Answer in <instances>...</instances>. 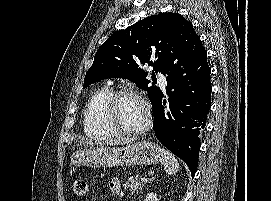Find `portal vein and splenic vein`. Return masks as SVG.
<instances>
[{
    "label": "portal vein and splenic vein",
    "instance_id": "1",
    "mask_svg": "<svg viewBox=\"0 0 271 201\" xmlns=\"http://www.w3.org/2000/svg\"><path fill=\"white\" fill-rule=\"evenodd\" d=\"M141 182H147L146 178H141Z\"/></svg>",
    "mask_w": 271,
    "mask_h": 201
}]
</instances>
